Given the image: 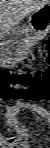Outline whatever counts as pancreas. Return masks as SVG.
Here are the masks:
<instances>
[{
    "mask_svg": "<svg viewBox=\"0 0 50 148\" xmlns=\"http://www.w3.org/2000/svg\"><path fill=\"white\" fill-rule=\"evenodd\" d=\"M26 32H27V33L29 32L28 29H26Z\"/></svg>",
    "mask_w": 50,
    "mask_h": 148,
    "instance_id": "1",
    "label": "pancreas"
}]
</instances>
